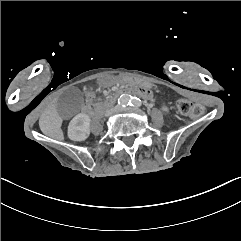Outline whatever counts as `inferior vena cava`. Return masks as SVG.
<instances>
[{"mask_svg": "<svg viewBox=\"0 0 241 241\" xmlns=\"http://www.w3.org/2000/svg\"><path fill=\"white\" fill-rule=\"evenodd\" d=\"M105 115L107 116V115H108V112H105Z\"/></svg>", "mask_w": 241, "mask_h": 241, "instance_id": "1", "label": "inferior vena cava"}]
</instances>
